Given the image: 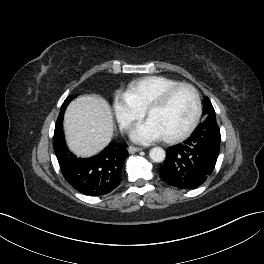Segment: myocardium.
Instances as JSON below:
<instances>
[{"mask_svg": "<svg viewBox=\"0 0 264 264\" xmlns=\"http://www.w3.org/2000/svg\"><path fill=\"white\" fill-rule=\"evenodd\" d=\"M181 88H187L192 92L195 100V113L191 123L184 131L174 136L163 137L164 141L167 143L180 142L190 136L196 129L202 115V102L198 90L192 84L179 82L165 89L154 101L149 104L145 110L146 116L149 117L152 111L166 105L172 95Z\"/></svg>", "mask_w": 264, "mask_h": 264, "instance_id": "1", "label": "myocardium"}]
</instances>
